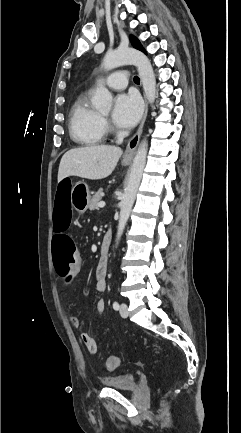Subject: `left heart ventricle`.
I'll use <instances>...</instances> for the list:
<instances>
[{"instance_id": "b2bd125f", "label": "left heart ventricle", "mask_w": 241, "mask_h": 433, "mask_svg": "<svg viewBox=\"0 0 241 433\" xmlns=\"http://www.w3.org/2000/svg\"><path fill=\"white\" fill-rule=\"evenodd\" d=\"M103 115H104V116H107V115H108V113H104Z\"/></svg>"}]
</instances>
